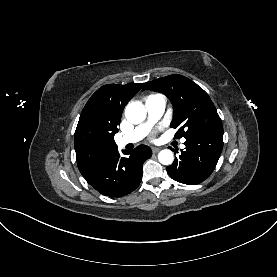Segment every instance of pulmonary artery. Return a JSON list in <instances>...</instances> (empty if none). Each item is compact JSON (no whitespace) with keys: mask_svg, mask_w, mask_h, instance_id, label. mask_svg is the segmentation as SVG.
<instances>
[{"mask_svg":"<svg viewBox=\"0 0 277 277\" xmlns=\"http://www.w3.org/2000/svg\"><path fill=\"white\" fill-rule=\"evenodd\" d=\"M165 106V99L161 95L149 96L145 101V107L148 113L147 122L135 128L130 134L121 137L118 141V145L123 147L127 144L136 143L142 140L148 134L153 123L162 116ZM184 142L185 139L182 140V143ZM181 147H184V145L182 144Z\"/></svg>","mask_w":277,"mask_h":277,"instance_id":"pulmonary-artery-1","label":"pulmonary artery"}]
</instances>
